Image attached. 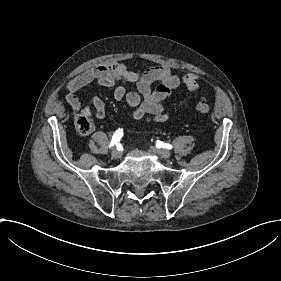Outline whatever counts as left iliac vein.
<instances>
[{
	"mask_svg": "<svg viewBox=\"0 0 281 281\" xmlns=\"http://www.w3.org/2000/svg\"><path fill=\"white\" fill-rule=\"evenodd\" d=\"M150 152H153L156 155H160L164 158L169 157L170 152L167 149L161 150L160 148L155 149V147H150Z\"/></svg>",
	"mask_w": 281,
	"mask_h": 281,
	"instance_id": "left-iliac-vein-1",
	"label": "left iliac vein"
}]
</instances>
